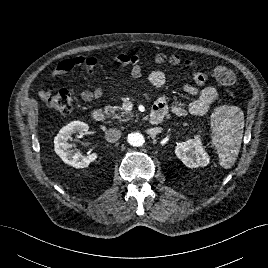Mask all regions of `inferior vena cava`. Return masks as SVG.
I'll return each mask as SVG.
<instances>
[{"label":"inferior vena cava","mask_w":268,"mask_h":268,"mask_svg":"<svg viewBox=\"0 0 268 268\" xmlns=\"http://www.w3.org/2000/svg\"><path fill=\"white\" fill-rule=\"evenodd\" d=\"M121 134L122 133L119 129L110 128L105 132V139L110 143H114L120 139Z\"/></svg>","instance_id":"1"}]
</instances>
